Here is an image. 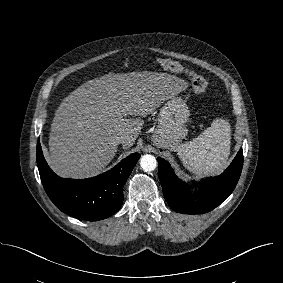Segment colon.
<instances>
[{"mask_svg": "<svg viewBox=\"0 0 283 283\" xmlns=\"http://www.w3.org/2000/svg\"><path fill=\"white\" fill-rule=\"evenodd\" d=\"M158 63L167 70L182 73L188 76L191 81L193 90L196 93L204 95L208 92L207 80L203 76L196 74L194 71L186 69L179 62L168 58H159Z\"/></svg>", "mask_w": 283, "mask_h": 283, "instance_id": "obj_1", "label": "colon"}]
</instances>
